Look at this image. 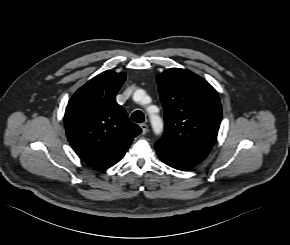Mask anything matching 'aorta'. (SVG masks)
<instances>
[{
    "mask_svg": "<svg viewBox=\"0 0 290 245\" xmlns=\"http://www.w3.org/2000/svg\"><path fill=\"white\" fill-rule=\"evenodd\" d=\"M138 95L145 96V92L143 90H137L134 94V98ZM150 122L152 129L156 135H160L163 131V121L159 115L149 112Z\"/></svg>",
    "mask_w": 290,
    "mask_h": 245,
    "instance_id": "aorta-1",
    "label": "aorta"
}]
</instances>
